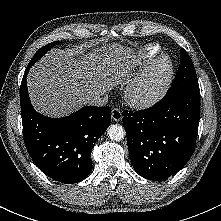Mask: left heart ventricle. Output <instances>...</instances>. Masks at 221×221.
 <instances>
[{
  "label": "left heart ventricle",
  "instance_id": "b2bd125f",
  "mask_svg": "<svg viewBox=\"0 0 221 221\" xmlns=\"http://www.w3.org/2000/svg\"><path fill=\"white\" fill-rule=\"evenodd\" d=\"M166 69H167V63L164 61L159 65L156 74L152 78V82L150 84L151 88L155 87L162 80Z\"/></svg>",
  "mask_w": 221,
  "mask_h": 221
}]
</instances>
